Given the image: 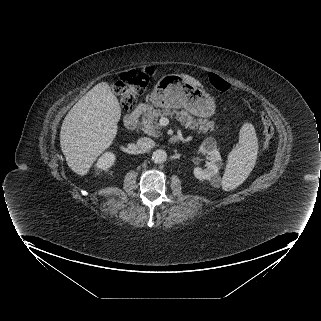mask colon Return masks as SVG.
Returning <instances> with one entry per match:
<instances>
[{
    "instance_id": "obj_1",
    "label": "colon",
    "mask_w": 321,
    "mask_h": 321,
    "mask_svg": "<svg viewBox=\"0 0 321 321\" xmlns=\"http://www.w3.org/2000/svg\"><path fill=\"white\" fill-rule=\"evenodd\" d=\"M154 74L153 67H146L143 70H129L124 72L114 87L115 93L120 97L124 110L132 108L135 99L147 88L149 79ZM208 80L212 87L223 93H232L233 89L229 82L215 73L208 74ZM263 125L264 142L263 147L267 149L274 135V127L266 113L261 114Z\"/></svg>"
}]
</instances>
